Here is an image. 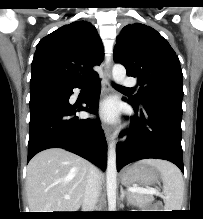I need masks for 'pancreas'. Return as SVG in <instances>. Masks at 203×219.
<instances>
[{
    "label": "pancreas",
    "mask_w": 203,
    "mask_h": 219,
    "mask_svg": "<svg viewBox=\"0 0 203 219\" xmlns=\"http://www.w3.org/2000/svg\"><path fill=\"white\" fill-rule=\"evenodd\" d=\"M130 199H134L137 202L146 204L154 201V196L152 194H140V193H128Z\"/></svg>",
    "instance_id": "cf45deb5"
}]
</instances>
